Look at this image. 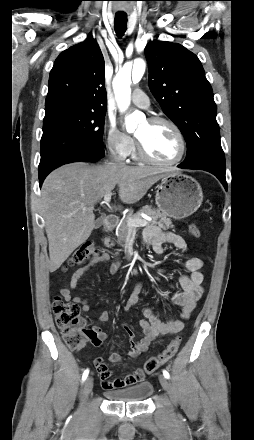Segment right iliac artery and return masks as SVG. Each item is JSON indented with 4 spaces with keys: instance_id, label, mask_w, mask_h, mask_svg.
Returning a JSON list of instances; mask_svg holds the SVG:
<instances>
[{
    "instance_id": "obj_1",
    "label": "right iliac artery",
    "mask_w": 254,
    "mask_h": 440,
    "mask_svg": "<svg viewBox=\"0 0 254 440\" xmlns=\"http://www.w3.org/2000/svg\"><path fill=\"white\" fill-rule=\"evenodd\" d=\"M88 374H89V370L86 369V370L84 371L83 375H82V381H83V382H84V381L86 380V378L88 377Z\"/></svg>"
}]
</instances>
